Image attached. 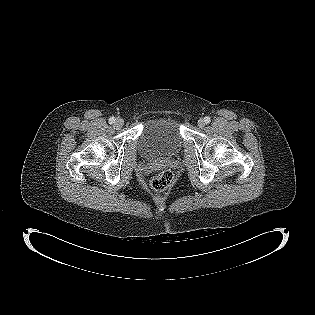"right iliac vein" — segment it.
<instances>
[{
	"instance_id": "63e3f726",
	"label": "right iliac vein",
	"mask_w": 315,
	"mask_h": 315,
	"mask_svg": "<svg viewBox=\"0 0 315 315\" xmlns=\"http://www.w3.org/2000/svg\"><path fill=\"white\" fill-rule=\"evenodd\" d=\"M123 124H124L123 120L119 118V119H117L116 122H115V127H116L117 129H119V128H121V127L123 126Z\"/></svg>"
}]
</instances>
